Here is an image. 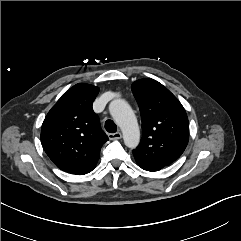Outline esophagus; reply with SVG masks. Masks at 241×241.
<instances>
[{"label": "esophagus", "mask_w": 241, "mask_h": 241, "mask_svg": "<svg viewBox=\"0 0 241 241\" xmlns=\"http://www.w3.org/2000/svg\"><path fill=\"white\" fill-rule=\"evenodd\" d=\"M108 136L111 140H117L122 138V134L120 132L110 133Z\"/></svg>", "instance_id": "34e87169"}]
</instances>
